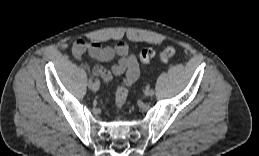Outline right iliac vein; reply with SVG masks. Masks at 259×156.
Listing matches in <instances>:
<instances>
[{
    "label": "right iliac vein",
    "instance_id": "63e3f726",
    "mask_svg": "<svg viewBox=\"0 0 259 156\" xmlns=\"http://www.w3.org/2000/svg\"><path fill=\"white\" fill-rule=\"evenodd\" d=\"M92 91L96 92L99 89V85L96 82H92V86L89 87Z\"/></svg>",
    "mask_w": 259,
    "mask_h": 156
}]
</instances>
